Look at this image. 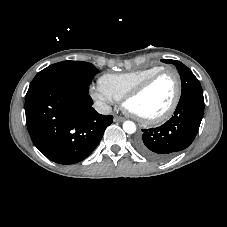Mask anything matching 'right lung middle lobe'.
<instances>
[{
	"mask_svg": "<svg viewBox=\"0 0 227 227\" xmlns=\"http://www.w3.org/2000/svg\"><path fill=\"white\" fill-rule=\"evenodd\" d=\"M98 72L99 70L88 62L62 61L40 71L32 80L28 91L46 84H62L87 92Z\"/></svg>",
	"mask_w": 227,
	"mask_h": 227,
	"instance_id": "obj_1",
	"label": "right lung middle lobe"
}]
</instances>
